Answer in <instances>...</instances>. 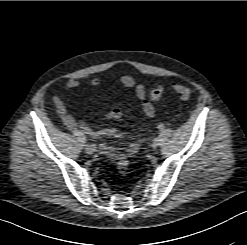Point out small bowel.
<instances>
[{
  "label": "small bowel",
  "mask_w": 247,
  "mask_h": 245,
  "mask_svg": "<svg viewBox=\"0 0 247 245\" xmlns=\"http://www.w3.org/2000/svg\"><path fill=\"white\" fill-rule=\"evenodd\" d=\"M119 81L125 88L134 89L137 98L142 102V109L146 116L152 118L155 115V108L153 104L146 98V88L143 84L138 83L136 79L128 74L119 76ZM101 84V80L97 77L92 78L89 81V86L97 87ZM81 85V81L78 78L69 79L65 86L64 92L73 90ZM53 103L58 116L63 121L64 125L72 131H80L83 134L94 137H112L120 139L124 136L120 130V123L122 121V112L119 108L111 109L104 117L103 120H113L115 125L102 130H93L87 123L76 119L72 114L68 112L63 93L57 94L53 97ZM151 136V130L147 129L145 133L139 138L132 140L128 147L121 153L115 151L113 148L107 146L106 144L100 145V150L102 154L107 156L112 160L119 158L121 154H125L128 157L134 156L141 147L147 142Z\"/></svg>",
  "instance_id": "small-bowel-1"
}]
</instances>
